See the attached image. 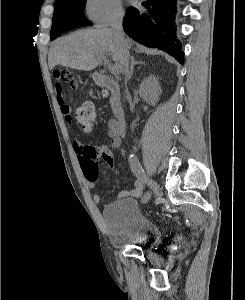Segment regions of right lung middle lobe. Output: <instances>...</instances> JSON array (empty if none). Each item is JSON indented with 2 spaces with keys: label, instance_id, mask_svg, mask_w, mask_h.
<instances>
[{
  "label": "right lung middle lobe",
  "instance_id": "1",
  "mask_svg": "<svg viewBox=\"0 0 245 300\" xmlns=\"http://www.w3.org/2000/svg\"><path fill=\"white\" fill-rule=\"evenodd\" d=\"M86 0H57L52 19V28L50 32L51 40L59 36L58 23L63 21H75L84 26L92 25L84 17L83 9L85 8Z\"/></svg>",
  "mask_w": 245,
  "mask_h": 300
}]
</instances>
